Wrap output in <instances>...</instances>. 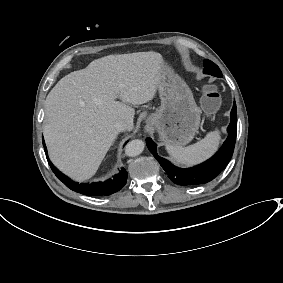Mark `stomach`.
I'll list each match as a JSON object with an SVG mask.
<instances>
[{"label": "stomach", "mask_w": 283, "mask_h": 283, "mask_svg": "<svg viewBox=\"0 0 283 283\" xmlns=\"http://www.w3.org/2000/svg\"><path fill=\"white\" fill-rule=\"evenodd\" d=\"M158 84L161 106L146 118V124L156 129L166 145L189 143L200 125V109L186 82L167 65L160 72Z\"/></svg>", "instance_id": "0dacf381"}]
</instances>
